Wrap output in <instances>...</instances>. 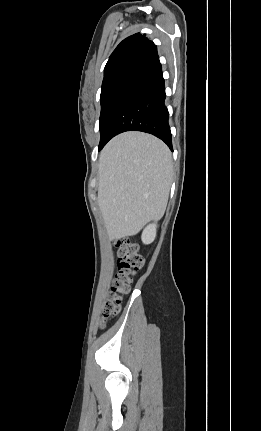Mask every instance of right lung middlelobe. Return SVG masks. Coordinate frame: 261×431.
<instances>
[{
	"instance_id": "obj_1",
	"label": "right lung middle lobe",
	"mask_w": 261,
	"mask_h": 431,
	"mask_svg": "<svg viewBox=\"0 0 261 431\" xmlns=\"http://www.w3.org/2000/svg\"><path fill=\"white\" fill-rule=\"evenodd\" d=\"M139 73V71H128L102 83L99 150L109 141V128L116 110Z\"/></svg>"
}]
</instances>
